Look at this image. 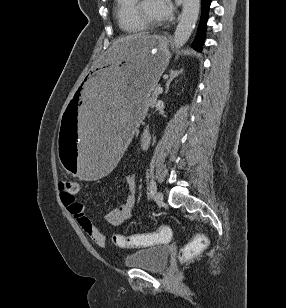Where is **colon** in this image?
Segmentation results:
<instances>
[{
	"label": "colon",
	"instance_id": "obj_1",
	"mask_svg": "<svg viewBox=\"0 0 286 308\" xmlns=\"http://www.w3.org/2000/svg\"><path fill=\"white\" fill-rule=\"evenodd\" d=\"M79 185L74 180H63L59 183V190L63 197L73 198L78 192ZM172 237V232L168 227H163L159 232L137 235L115 234L112 242L120 248H137L154 246L168 242ZM208 245V238L204 234H196L181 249L180 258L182 261H188L196 257Z\"/></svg>",
	"mask_w": 286,
	"mask_h": 308
}]
</instances>
